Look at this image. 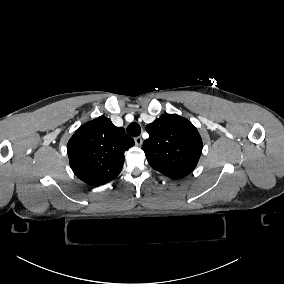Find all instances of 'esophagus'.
Listing matches in <instances>:
<instances>
[{
    "mask_svg": "<svg viewBox=\"0 0 284 284\" xmlns=\"http://www.w3.org/2000/svg\"><path fill=\"white\" fill-rule=\"evenodd\" d=\"M134 141H135L136 146H141L143 143L142 138L140 136L135 137Z\"/></svg>",
    "mask_w": 284,
    "mask_h": 284,
    "instance_id": "esophagus-1",
    "label": "esophagus"
}]
</instances>
